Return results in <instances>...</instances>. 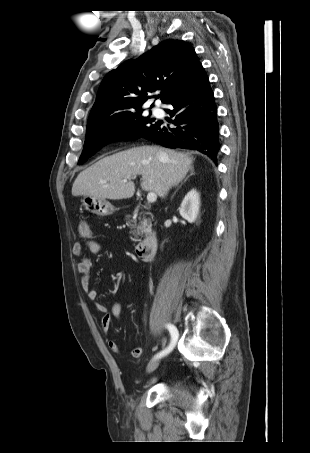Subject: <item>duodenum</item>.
<instances>
[{
    "mask_svg": "<svg viewBox=\"0 0 310 453\" xmlns=\"http://www.w3.org/2000/svg\"><path fill=\"white\" fill-rule=\"evenodd\" d=\"M158 237L155 232H150L136 246V254L141 261L151 260L157 250Z\"/></svg>",
    "mask_w": 310,
    "mask_h": 453,
    "instance_id": "duodenum-1",
    "label": "duodenum"
}]
</instances>
